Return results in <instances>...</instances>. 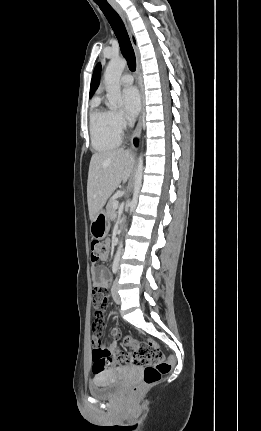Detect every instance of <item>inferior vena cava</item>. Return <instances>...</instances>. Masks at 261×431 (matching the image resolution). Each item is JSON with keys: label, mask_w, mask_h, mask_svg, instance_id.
Here are the masks:
<instances>
[{"label": "inferior vena cava", "mask_w": 261, "mask_h": 431, "mask_svg": "<svg viewBox=\"0 0 261 431\" xmlns=\"http://www.w3.org/2000/svg\"><path fill=\"white\" fill-rule=\"evenodd\" d=\"M130 125L132 126V125H133V123H132V122H130Z\"/></svg>", "instance_id": "inferior-vena-cava-1"}]
</instances>
